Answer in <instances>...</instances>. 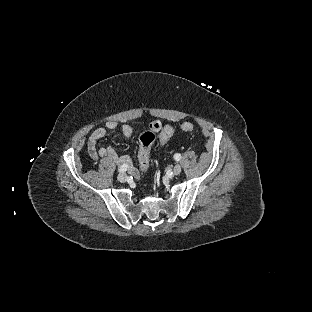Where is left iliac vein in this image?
Here are the masks:
<instances>
[{
    "label": "left iliac vein",
    "mask_w": 312,
    "mask_h": 312,
    "mask_svg": "<svg viewBox=\"0 0 312 312\" xmlns=\"http://www.w3.org/2000/svg\"><path fill=\"white\" fill-rule=\"evenodd\" d=\"M181 171H182V168H181L180 165H175V167L173 168V174H174V175L180 174Z\"/></svg>",
    "instance_id": "left-iliac-vein-1"
}]
</instances>
